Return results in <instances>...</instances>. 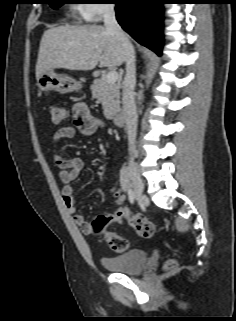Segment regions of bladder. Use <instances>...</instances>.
<instances>
[{
  "mask_svg": "<svg viewBox=\"0 0 236 321\" xmlns=\"http://www.w3.org/2000/svg\"><path fill=\"white\" fill-rule=\"evenodd\" d=\"M148 255L143 249L128 250L120 255L103 257L101 262L107 269L117 272L134 274L146 266Z\"/></svg>",
  "mask_w": 236,
  "mask_h": 321,
  "instance_id": "bladder-1",
  "label": "bladder"
}]
</instances>
